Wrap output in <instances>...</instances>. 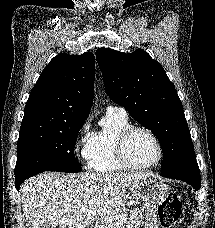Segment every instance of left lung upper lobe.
Segmentation results:
<instances>
[{
    "label": "left lung upper lobe",
    "mask_w": 215,
    "mask_h": 228,
    "mask_svg": "<svg viewBox=\"0 0 215 228\" xmlns=\"http://www.w3.org/2000/svg\"><path fill=\"white\" fill-rule=\"evenodd\" d=\"M96 58L110 99L158 138L161 173L195 160L182 103L163 67L142 49L127 54L99 48Z\"/></svg>",
    "instance_id": "obj_1"
}]
</instances>
